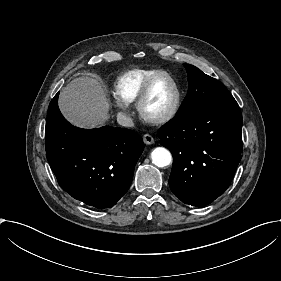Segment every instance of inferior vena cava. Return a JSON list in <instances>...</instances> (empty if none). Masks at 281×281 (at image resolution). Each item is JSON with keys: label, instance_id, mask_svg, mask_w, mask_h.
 Listing matches in <instances>:
<instances>
[{"label": "inferior vena cava", "instance_id": "1", "mask_svg": "<svg viewBox=\"0 0 281 281\" xmlns=\"http://www.w3.org/2000/svg\"><path fill=\"white\" fill-rule=\"evenodd\" d=\"M117 123L123 127H133L134 122L133 119L124 113L117 114Z\"/></svg>", "mask_w": 281, "mask_h": 281}]
</instances>
